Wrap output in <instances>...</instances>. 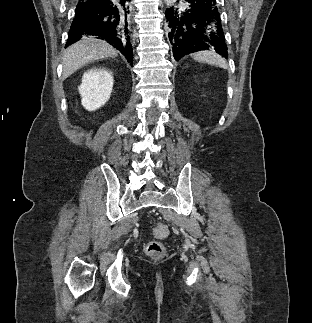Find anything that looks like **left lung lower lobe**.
Masks as SVG:
<instances>
[{"instance_id": "obj_1", "label": "left lung lower lobe", "mask_w": 312, "mask_h": 323, "mask_svg": "<svg viewBox=\"0 0 312 323\" xmlns=\"http://www.w3.org/2000/svg\"><path fill=\"white\" fill-rule=\"evenodd\" d=\"M184 7L167 9L169 41L173 55L179 60L185 55L214 49L228 57L217 0H184Z\"/></svg>"}]
</instances>
